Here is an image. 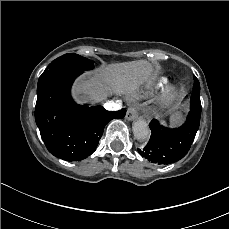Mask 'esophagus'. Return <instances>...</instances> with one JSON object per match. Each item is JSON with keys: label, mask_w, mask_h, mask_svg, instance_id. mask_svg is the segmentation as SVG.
I'll return each instance as SVG.
<instances>
[{"label": "esophagus", "mask_w": 229, "mask_h": 229, "mask_svg": "<svg viewBox=\"0 0 229 229\" xmlns=\"http://www.w3.org/2000/svg\"><path fill=\"white\" fill-rule=\"evenodd\" d=\"M138 116V109L134 106H130L126 112V120L133 121Z\"/></svg>", "instance_id": "34e87169"}]
</instances>
